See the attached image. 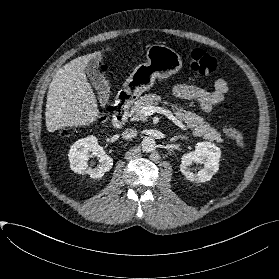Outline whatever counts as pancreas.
<instances>
[{"mask_svg": "<svg viewBox=\"0 0 279 279\" xmlns=\"http://www.w3.org/2000/svg\"><path fill=\"white\" fill-rule=\"evenodd\" d=\"M159 103L171 106L176 118L181 122H185L189 128L194 129L193 134L195 136L202 137L204 140H208L209 142L223 141L221 134L218 133L216 129L212 128L203 117L194 112L187 111L181 106L178 107L177 105L170 104L167 101H162V98L156 94H146L140 97V99H138L131 107L130 117H133L135 120H145L146 117L141 113V108L145 106L157 107Z\"/></svg>", "mask_w": 279, "mask_h": 279, "instance_id": "cf45deb5", "label": "pancreas"}]
</instances>
